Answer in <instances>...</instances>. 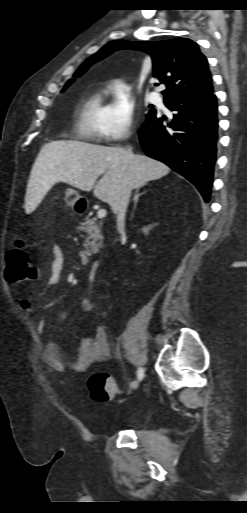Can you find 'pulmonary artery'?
Returning <instances> with one entry per match:
<instances>
[{"label":"pulmonary artery","mask_w":247,"mask_h":513,"mask_svg":"<svg viewBox=\"0 0 247 513\" xmlns=\"http://www.w3.org/2000/svg\"><path fill=\"white\" fill-rule=\"evenodd\" d=\"M159 100H160V97H159V95H158L157 93H152V94H151V96H150V101H151V102L156 103V102H158Z\"/></svg>","instance_id":"obj_1"}]
</instances>
